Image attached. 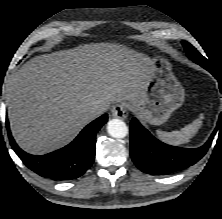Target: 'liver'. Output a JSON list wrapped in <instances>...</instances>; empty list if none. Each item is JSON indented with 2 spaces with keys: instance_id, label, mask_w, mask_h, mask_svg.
I'll list each match as a JSON object with an SVG mask.
<instances>
[{
  "instance_id": "obj_1",
  "label": "liver",
  "mask_w": 222,
  "mask_h": 219,
  "mask_svg": "<svg viewBox=\"0 0 222 219\" xmlns=\"http://www.w3.org/2000/svg\"><path fill=\"white\" fill-rule=\"evenodd\" d=\"M152 73L143 53L115 43H91L32 58L7 83L11 131L18 145L40 155L68 144L96 106L136 102Z\"/></svg>"
}]
</instances>
